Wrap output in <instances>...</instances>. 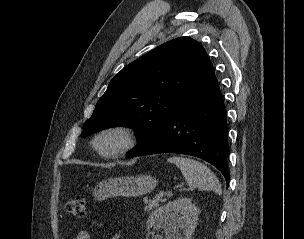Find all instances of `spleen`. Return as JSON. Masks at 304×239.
<instances>
[{
	"label": "spleen",
	"mask_w": 304,
	"mask_h": 239,
	"mask_svg": "<svg viewBox=\"0 0 304 239\" xmlns=\"http://www.w3.org/2000/svg\"><path fill=\"white\" fill-rule=\"evenodd\" d=\"M168 162L175 164L182 172L191 188L201 191H214L221 193V185L215 174L204 164L194 159L184 157H171Z\"/></svg>",
	"instance_id": "1"
}]
</instances>
